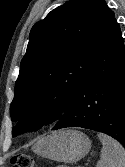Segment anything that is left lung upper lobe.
Segmentation results:
<instances>
[{"label": "left lung upper lobe", "mask_w": 125, "mask_h": 167, "mask_svg": "<svg viewBox=\"0 0 125 167\" xmlns=\"http://www.w3.org/2000/svg\"><path fill=\"white\" fill-rule=\"evenodd\" d=\"M113 21L105 0H70L32 27L10 106L13 136L59 119Z\"/></svg>", "instance_id": "5c2ea615"}]
</instances>
